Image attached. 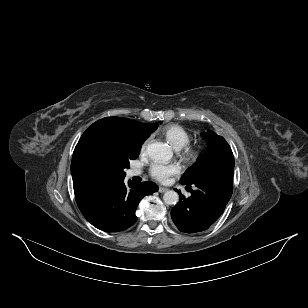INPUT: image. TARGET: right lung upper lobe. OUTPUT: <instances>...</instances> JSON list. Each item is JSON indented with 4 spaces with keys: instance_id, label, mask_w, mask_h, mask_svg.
<instances>
[{
    "instance_id": "cb5924a9",
    "label": "right lung upper lobe",
    "mask_w": 308,
    "mask_h": 308,
    "mask_svg": "<svg viewBox=\"0 0 308 308\" xmlns=\"http://www.w3.org/2000/svg\"><path fill=\"white\" fill-rule=\"evenodd\" d=\"M153 124L120 117H106L93 123L78 141L71 173L75 198L102 185L124 178L119 162L140 152L152 133Z\"/></svg>"
}]
</instances>
